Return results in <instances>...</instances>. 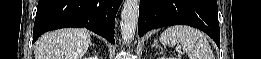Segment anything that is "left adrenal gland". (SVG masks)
I'll use <instances>...</instances> for the list:
<instances>
[{"label": "left adrenal gland", "instance_id": "1", "mask_svg": "<svg viewBox=\"0 0 261 59\" xmlns=\"http://www.w3.org/2000/svg\"><path fill=\"white\" fill-rule=\"evenodd\" d=\"M152 47L162 48L161 45L158 44V40H154V44L152 45Z\"/></svg>", "mask_w": 261, "mask_h": 59}]
</instances>
